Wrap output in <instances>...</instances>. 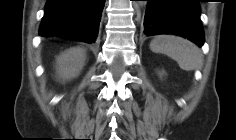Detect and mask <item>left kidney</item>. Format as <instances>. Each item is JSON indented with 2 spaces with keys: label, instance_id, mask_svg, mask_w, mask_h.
<instances>
[{
  "label": "left kidney",
  "instance_id": "left-kidney-1",
  "mask_svg": "<svg viewBox=\"0 0 236 140\" xmlns=\"http://www.w3.org/2000/svg\"><path fill=\"white\" fill-rule=\"evenodd\" d=\"M164 73L163 72H160V76H162Z\"/></svg>",
  "mask_w": 236,
  "mask_h": 140
}]
</instances>
